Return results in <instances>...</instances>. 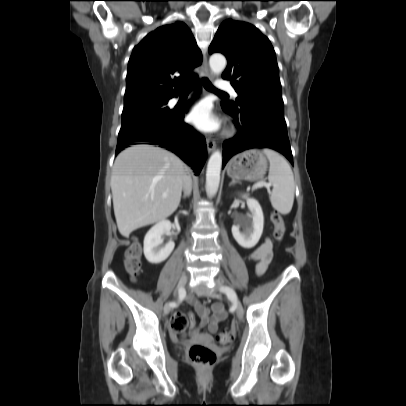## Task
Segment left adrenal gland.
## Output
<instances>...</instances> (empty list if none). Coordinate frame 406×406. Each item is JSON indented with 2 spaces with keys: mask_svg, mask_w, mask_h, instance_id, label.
I'll use <instances>...</instances> for the list:
<instances>
[{
  "mask_svg": "<svg viewBox=\"0 0 406 406\" xmlns=\"http://www.w3.org/2000/svg\"><path fill=\"white\" fill-rule=\"evenodd\" d=\"M235 183H236V181H235V180H232V181L230 182V185L235 184Z\"/></svg>",
  "mask_w": 406,
  "mask_h": 406,
  "instance_id": "left-adrenal-gland-1",
  "label": "left adrenal gland"
}]
</instances>
